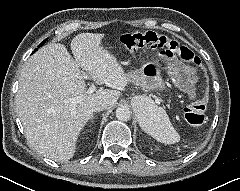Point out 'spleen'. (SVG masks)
I'll return each mask as SVG.
<instances>
[{
  "mask_svg": "<svg viewBox=\"0 0 240 191\" xmlns=\"http://www.w3.org/2000/svg\"><path fill=\"white\" fill-rule=\"evenodd\" d=\"M142 123V129L158 142L174 144L180 140L179 134L162 108L151 104L146 108Z\"/></svg>",
  "mask_w": 240,
  "mask_h": 191,
  "instance_id": "3e777b00",
  "label": "spleen"
}]
</instances>
